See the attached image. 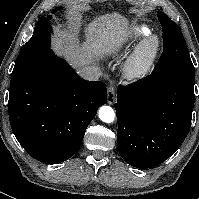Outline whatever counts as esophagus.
I'll return each mask as SVG.
<instances>
[{
    "instance_id": "1",
    "label": "esophagus",
    "mask_w": 199,
    "mask_h": 199,
    "mask_svg": "<svg viewBox=\"0 0 199 199\" xmlns=\"http://www.w3.org/2000/svg\"><path fill=\"white\" fill-rule=\"evenodd\" d=\"M115 101H116L115 88H114L113 84H111L107 90V103L112 105L115 103Z\"/></svg>"
}]
</instances>
